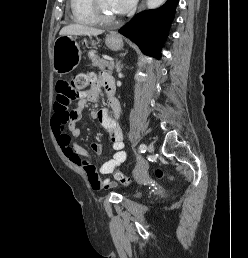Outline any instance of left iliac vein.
Returning a JSON list of instances; mask_svg holds the SVG:
<instances>
[{
	"label": "left iliac vein",
	"mask_w": 248,
	"mask_h": 258,
	"mask_svg": "<svg viewBox=\"0 0 248 258\" xmlns=\"http://www.w3.org/2000/svg\"><path fill=\"white\" fill-rule=\"evenodd\" d=\"M147 150H148L149 153H152L154 151L153 144H149L148 147H147Z\"/></svg>",
	"instance_id": "1"
}]
</instances>
